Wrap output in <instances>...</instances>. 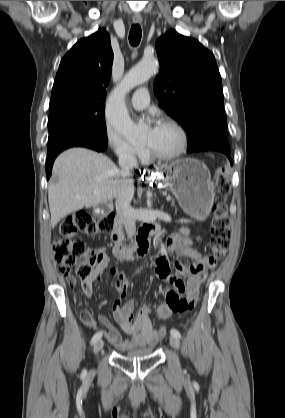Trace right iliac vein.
<instances>
[{"label": "right iliac vein", "instance_id": "1", "mask_svg": "<svg viewBox=\"0 0 285 418\" xmlns=\"http://www.w3.org/2000/svg\"><path fill=\"white\" fill-rule=\"evenodd\" d=\"M103 340L99 339L98 341H96V343L94 344V348H93V352L94 354H98L101 349L103 348Z\"/></svg>", "mask_w": 285, "mask_h": 418}]
</instances>
